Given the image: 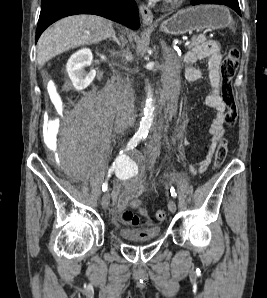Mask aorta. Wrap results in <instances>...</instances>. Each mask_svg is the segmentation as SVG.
Here are the masks:
<instances>
[{"mask_svg":"<svg viewBox=\"0 0 267 298\" xmlns=\"http://www.w3.org/2000/svg\"><path fill=\"white\" fill-rule=\"evenodd\" d=\"M153 112H154V104H153V98H152V91L150 86H148L147 99L144 107V116L140 122L138 133L140 134L148 133L153 123Z\"/></svg>","mask_w":267,"mask_h":298,"instance_id":"obj_1","label":"aorta"}]
</instances>
